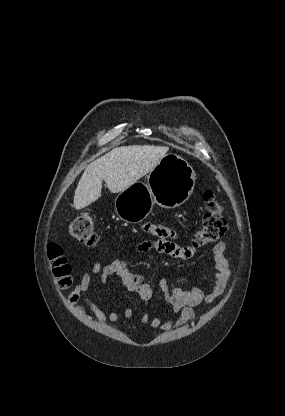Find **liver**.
<instances>
[{
  "instance_id": "1",
  "label": "liver",
  "mask_w": 285,
  "mask_h": 416,
  "mask_svg": "<svg viewBox=\"0 0 285 416\" xmlns=\"http://www.w3.org/2000/svg\"><path fill=\"white\" fill-rule=\"evenodd\" d=\"M168 150L165 146H121L94 160L84 170L75 190V210L87 208L100 198L103 180L112 194L136 184L157 166Z\"/></svg>"
}]
</instances>
